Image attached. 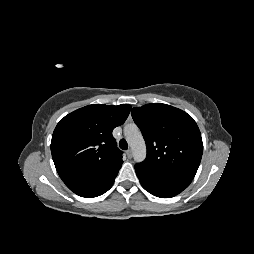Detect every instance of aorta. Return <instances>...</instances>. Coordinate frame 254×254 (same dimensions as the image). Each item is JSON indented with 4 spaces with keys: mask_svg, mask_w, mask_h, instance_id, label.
<instances>
[{
    "mask_svg": "<svg viewBox=\"0 0 254 254\" xmlns=\"http://www.w3.org/2000/svg\"><path fill=\"white\" fill-rule=\"evenodd\" d=\"M124 133L131 146L134 160L142 162L146 157V146L141 132L135 124L126 125Z\"/></svg>",
    "mask_w": 254,
    "mask_h": 254,
    "instance_id": "obj_1",
    "label": "aorta"
}]
</instances>
